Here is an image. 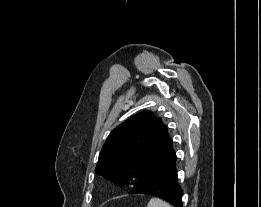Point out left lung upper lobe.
<instances>
[{
    "label": "left lung upper lobe",
    "mask_w": 261,
    "mask_h": 207,
    "mask_svg": "<svg viewBox=\"0 0 261 207\" xmlns=\"http://www.w3.org/2000/svg\"><path fill=\"white\" fill-rule=\"evenodd\" d=\"M176 159L167 127L151 111H142L109 134L95 171L119 186L134 187Z\"/></svg>",
    "instance_id": "5c2ea615"
}]
</instances>
